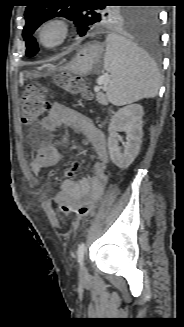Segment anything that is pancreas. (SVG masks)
<instances>
[{"label":"pancreas","mask_w":184,"mask_h":327,"mask_svg":"<svg viewBox=\"0 0 184 327\" xmlns=\"http://www.w3.org/2000/svg\"><path fill=\"white\" fill-rule=\"evenodd\" d=\"M96 99L99 103L103 104V105H107V98L106 96L102 93V92H98L96 95Z\"/></svg>","instance_id":"1"}]
</instances>
